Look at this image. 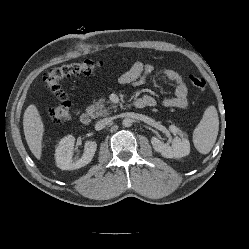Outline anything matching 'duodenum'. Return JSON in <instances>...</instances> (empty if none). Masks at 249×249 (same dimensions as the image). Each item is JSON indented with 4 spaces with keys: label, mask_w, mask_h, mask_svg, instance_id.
<instances>
[{
    "label": "duodenum",
    "mask_w": 249,
    "mask_h": 249,
    "mask_svg": "<svg viewBox=\"0 0 249 249\" xmlns=\"http://www.w3.org/2000/svg\"><path fill=\"white\" fill-rule=\"evenodd\" d=\"M145 101L142 99H138L135 102V107L136 108H144L145 107ZM92 120V113L90 111H85L81 114L80 116V122L83 125H89Z\"/></svg>",
    "instance_id": "410a0bca"
}]
</instances>
